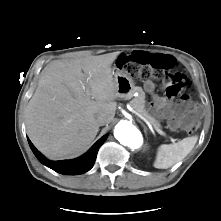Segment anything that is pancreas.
<instances>
[{
  "instance_id": "pancreas-1",
  "label": "pancreas",
  "mask_w": 221,
  "mask_h": 221,
  "mask_svg": "<svg viewBox=\"0 0 221 221\" xmlns=\"http://www.w3.org/2000/svg\"><path fill=\"white\" fill-rule=\"evenodd\" d=\"M133 92L139 93V95L133 98L130 102L134 111L137 114L144 117L146 120H148L153 126L160 128L161 127L160 122L156 118H154L152 115H150L145 108V93L143 92V90L141 88H134L130 92V94H132ZM126 96H128V94Z\"/></svg>"
}]
</instances>
